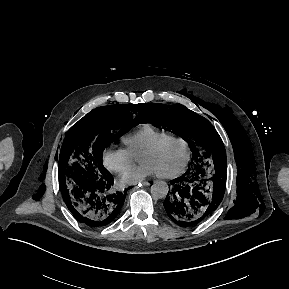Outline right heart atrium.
I'll list each match as a JSON object with an SVG mask.
<instances>
[{
    "label": "right heart atrium",
    "instance_id": "1",
    "mask_svg": "<svg viewBox=\"0 0 289 289\" xmlns=\"http://www.w3.org/2000/svg\"><path fill=\"white\" fill-rule=\"evenodd\" d=\"M135 156L123 146L108 147L102 152L104 166L114 173H122L131 167Z\"/></svg>",
    "mask_w": 289,
    "mask_h": 289
}]
</instances>
